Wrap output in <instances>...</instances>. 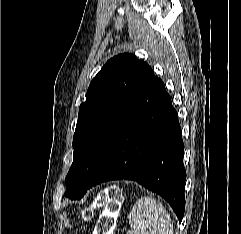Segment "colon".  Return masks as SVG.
Masks as SVG:
<instances>
[{
	"label": "colon",
	"mask_w": 241,
	"mask_h": 234,
	"mask_svg": "<svg viewBox=\"0 0 241 234\" xmlns=\"http://www.w3.org/2000/svg\"><path fill=\"white\" fill-rule=\"evenodd\" d=\"M120 201L121 195L116 188H108L98 194L96 206L102 208L103 211L95 228V234H113ZM83 217L87 220L90 219L92 217V210L85 209Z\"/></svg>",
	"instance_id": "5ec220e1"
}]
</instances>
